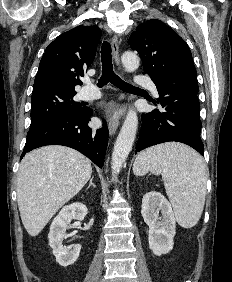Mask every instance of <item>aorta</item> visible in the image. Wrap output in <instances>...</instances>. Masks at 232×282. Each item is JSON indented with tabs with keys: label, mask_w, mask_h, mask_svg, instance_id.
I'll return each mask as SVG.
<instances>
[{
	"label": "aorta",
	"mask_w": 232,
	"mask_h": 282,
	"mask_svg": "<svg viewBox=\"0 0 232 282\" xmlns=\"http://www.w3.org/2000/svg\"><path fill=\"white\" fill-rule=\"evenodd\" d=\"M121 61L128 72H134L139 67V58L134 52H124L121 56ZM137 128V113L133 109H130L117 137L112 153L111 168L115 179H117V174L132 150Z\"/></svg>",
	"instance_id": "762f6f07"
}]
</instances>
